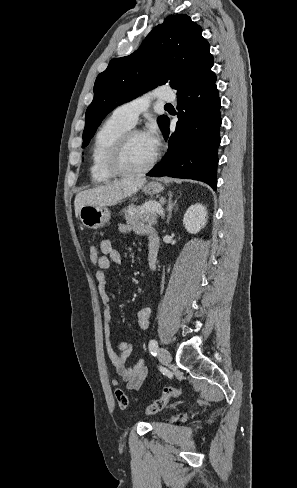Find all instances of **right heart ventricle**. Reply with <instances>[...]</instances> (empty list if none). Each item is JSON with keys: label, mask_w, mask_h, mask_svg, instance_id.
<instances>
[{"label": "right heart ventricle", "mask_w": 297, "mask_h": 488, "mask_svg": "<svg viewBox=\"0 0 297 488\" xmlns=\"http://www.w3.org/2000/svg\"><path fill=\"white\" fill-rule=\"evenodd\" d=\"M131 128L115 113L99 128L91 147L90 174L94 182H108L116 177L108 167V157L118 138Z\"/></svg>", "instance_id": "e07e8e85"}]
</instances>
